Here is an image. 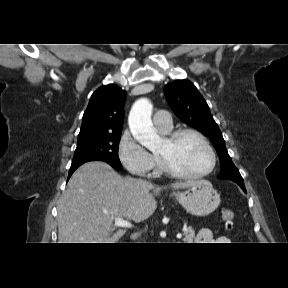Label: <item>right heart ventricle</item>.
<instances>
[{
    "mask_svg": "<svg viewBox=\"0 0 288 288\" xmlns=\"http://www.w3.org/2000/svg\"><path fill=\"white\" fill-rule=\"evenodd\" d=\"M162 132H163V131H162ZM164 133H167V132H164ZM157 167H158V170H159V169H161V167H160L159 163H158V166H157Z\"/></svg>",
    "mask_w": 288,
    "mask_h": 288,
    "instance_id": "1",
    "label": "right heart ventricle"
}]
</instances>
